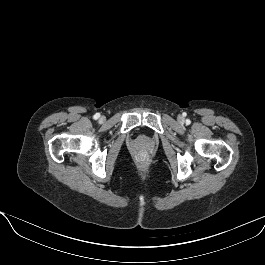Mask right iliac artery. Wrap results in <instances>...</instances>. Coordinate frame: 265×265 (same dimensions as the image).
<instances>
[{
  "label": "right iliac artery",
  "mask_w": 265,
  "mask_h": 265,
  "mask_svg": "<svg viewBox=\"0 0 265 265\" xmlns=\"http://www.w3.org/2000/svg\"><path fill=\"white\" fill-rule=\"evenodd\" d=\"M100 117V114H98V113H96L95 115H94V119H98Z\"/></svg>",
  "instance_id": "82829eb1"
}]
</instances>
